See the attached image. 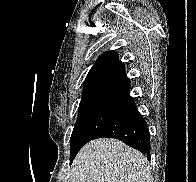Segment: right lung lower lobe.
Instances as JSON below:
<instances>
[{
  "label": "right lung lower lobe",
  "instance_id": "98d812e1",
  "mask_svg": "<svg viewBox=\"0 0 196 182\" xmlns=\"http://www.w3.org/2000/svg\"><path fill=\"white\" fill-rule=\"evenodd\" d=\"M102 137L119 139L146 155L150 161V133L145 119L136 108L102 129L93 139Z\"/></svg>",
  "mask_w": 196,
  "mask_h": 182
}]
</instances>
